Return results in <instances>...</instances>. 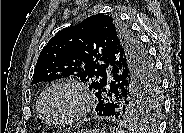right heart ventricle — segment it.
<instances>
[{
    "instance_id": "obj_1",
    "label": "right heart ventricle",
    "mask_w": 184,
    "mask_h": 133,
    "mask_svg": "<svg viewBox=\"0 0 184 133\" xmlns=\"http://www.w3.org/2000/svg\"><path fill=\"white\" fill-rule=\"evenodd\" d=\"M40 99H41V98H40ZM40 99H39V101H38V103H37V111H38V114L40 115V117H41L42 119H44L43 116H42V113L40 112V109H39Z\"/></svg>"
}]
</instances>
